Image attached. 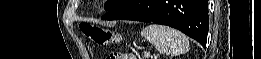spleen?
Instances as JSON below:
<instances>
[{"mask_svg": "<svg viewBox=\"0 0 261 59\" xmlns=\"http://www.w3.org/2000/svg\"><path fill=\"white\" fill-rule=\"evenodd\" d=\"M141 36L154 45L160 54L177 56L189 51L188 38L168 26L150 24L141 31Z\"/></svg>", "mask_w": 261, "mask_h": 59, "instance_id": "spleen-1", "label": "spleen"}]
</instances>
